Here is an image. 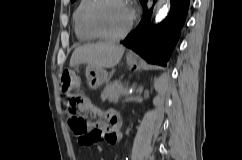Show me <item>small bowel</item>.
I'll return each instance as SVG.
<instances>
[{
    "label": "small bowel",
    "instance_id": "c3829d8e",
    "mask_svg": "<svg viewBox=\"0 0 242 160\" xmlns=\"http://www.w3.org/2000/svg\"><path fill=\"white\" fill-rule=\"evenodd\" d=\"M69 126H70L71 130L74 132L71 119H69ZM94 130L101 131L100 137L96 140L95 144L97 142H99L101 139H104L109 144H116L121 139L120 119L116 115L108 116L105 121V126L98 125L96 128H94ZM79 138H80V136H79ZM82 145H84V144H82ZM84 146H88V145H84Z\"/></svg>",
    "mask_w": 242,
    "mask_h": 160
}]
</instances>
